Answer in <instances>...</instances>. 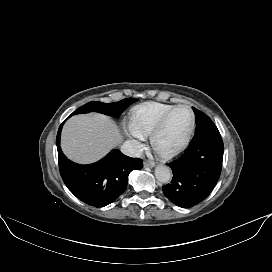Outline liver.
<instances>
[{
    "label": "liver",
    "instance_id": "6515ba94",
    "mask_svg": "<svg viewBox=\"0 0 272 272\" xmlns=\"http://www.w3.org/2000/svg\"><path fill=\"white\" fill-rule=\"evenodd\" d=\"M122 140L113 120L103 114H83L71 117L64 125L61 147L72 161L89 164L103 158Z\"/></svg>",
    "mask_w": 272,
    "mask_h": 272
}]
</instances>
